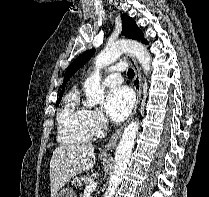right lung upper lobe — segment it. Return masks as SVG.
<instances>
[{"mask_svg":"<svg viewBox=\"0 0 209 197\" xmlns=\"http://www.w3.org/2000/svg\"><path fill=\"white\" fill-rule=\"evenodd\" d=\"M63 91H64V87L62 88V91L60 93L59 99H61L62 95H63Z\"/></svg>","mask_w":209,"mask_h":197,"instance_id":"obj_1","label":"right lung upper lobe"}]
</instances>
